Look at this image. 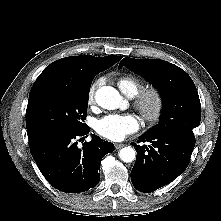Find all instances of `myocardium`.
I'll list each match as a JSON object with an SVG mask.
<instances>
[{
    "mask_svg": "<svg viewBox=\"0 0 221 221\" xmlns=\"http://www.w3.org/2000/svg\"><path fill=\"white\" fill-rule=\"evenodd\" d=\"M134 104L142 118L152 123L161 118L165 108V98L159 88L150 87L136 95Z\"/></svg>",
    "mask_w": 221,
    "mask_h": 221,
    "instance_id": "myocardium-1",
    "label": "myocardium"
}]
</instances>
